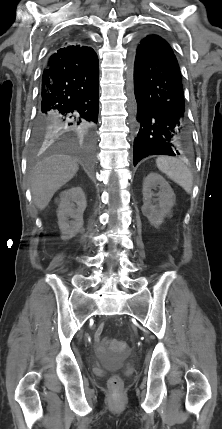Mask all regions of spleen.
Listing matches in <instances>:
<instances>
[{
  "label": "spleen",
  "mask_w": 222,
  "mask_h": 429,
  "mask_svg": "<svg viewBox=\"0 0 222 429\" xmlns=\"http://www.w3.org/2000/svg\"><path fill=\"white\" fill-rule=\"evenodd\" d=\"M158 169L179 184L187 193L191 192L193 176L189 168L179 159L160 156L156 160Z\"/></svg>",
  "instance_id": "3e777b00"
}]
</instances>
